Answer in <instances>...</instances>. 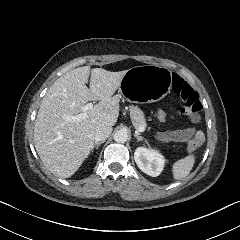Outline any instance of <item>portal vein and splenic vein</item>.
I'll use <instances>...</instances> for the list:
<instances>
[{
	"mask_svg": "<svg viewBox=\"0 0 240 240\" xmlns=\"http://www.w3.org/2000/svg\"><path fill=\"white\" fill-rule=\"evenodd\" d=\"M93 108V104L92 103H87L84 107H83V112L78 114V115H75V116H66L65 117V120L66 121H82L84 120L85 118L88 117V114H87V111L92 109ZM138 131L139 132H143V130L145 129V126L143 124H140L138 126Z\"/></svg>",
	"mask_w": 240,
	"mask_h": 240,
	"instance_id": "1",
	"label": "portal vein and splenic vein"
}]
</instances>
